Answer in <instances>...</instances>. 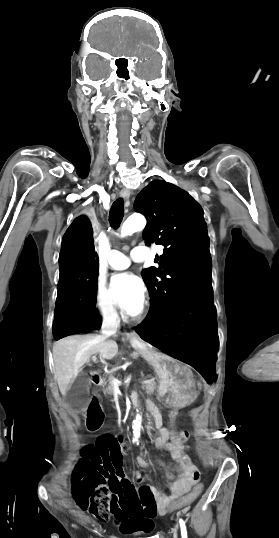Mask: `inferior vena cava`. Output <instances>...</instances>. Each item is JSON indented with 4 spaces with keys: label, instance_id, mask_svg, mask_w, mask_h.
I'll use <instances>...</instances> for the list:
<instances>
[{
    "label": "inferior vena cava",
    "instance_id": "obj_1",
    "mask_svg": "<svg viewBox=\"0 0 279 538\" xmlns=\"http://www.w3.org/2000/svg\"><path fill=\"white\" fill-rule=\"evenodd\" d=\"M116 318H118L116 310H106L104 314L102 331V333H106V338H109V335L116 334L117 327L119 325L118 321H116Z\"/></svg>",
    "mask_w": 279,
    "mask_h": 538
}]
</instances>
